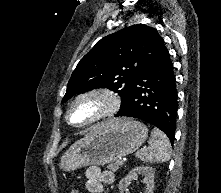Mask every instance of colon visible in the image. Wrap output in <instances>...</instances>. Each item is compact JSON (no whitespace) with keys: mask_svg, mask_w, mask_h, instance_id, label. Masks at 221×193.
Instances as JSON below:
<instances>
[{"mask_svg":"<svg viewBox=\"0 0 221 193\" xmlns=\"http://www.w3.org/2000/svg\"><path fill=\"white\" fill-rule=\"evenodd\" d=\"M73 191H75L76 193H79V191H78L77 189H73V190L71 191V193H72Z\"/></svg>","mask_w":221,"mask_h":193,"instance_id":"obj_1","label":"colon"}]
</instances>
